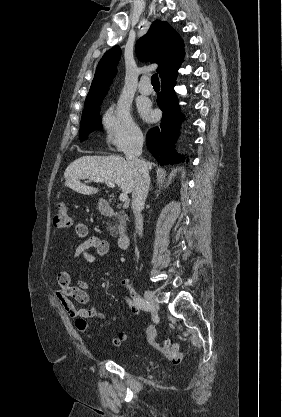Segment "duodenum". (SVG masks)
<instances>
[{
    "mask_svg": "<svg viewBox=\"0 0 282 417\" xmlns=\"http://www.w3.org/2000/svg\"><path fill=\"white\" fill-rule=\"evenodd\" d=\"M101 212L106 216H115L116 211L106 202H102L101 204ZM130 242V236L126 232H121L118 236V245L119 248L122 250H127Z\"/></svg>",
    "mask_w": 282,
    "mask_h": 417,
    "instance_id": "410a0bca",
    "label": "duodenum"
}]
</instances>
